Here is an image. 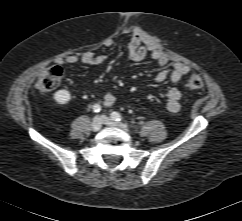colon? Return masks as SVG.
Here are the masks:
<instances>
[{"mask_svg":"<svg viewBox=\"0 0 242 221\" xmlns=\"http://www.w3.org/2000/svg\"><path fill=\"white\" fill-rule=\"evenodd\" d=\"M63 75L62 68L59 66H52L44 70L38 77L36 88L40 93H48L54 90ZM203 85L202 78L199 74L194 73L190 76L187 86L191 89H199Z\"/></svg>","mask_w":242,"mask_h":221,"instance_id":"obj_1","label":"colon"}]
</instances>
